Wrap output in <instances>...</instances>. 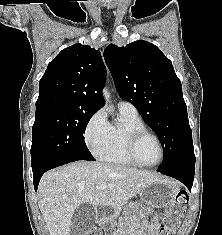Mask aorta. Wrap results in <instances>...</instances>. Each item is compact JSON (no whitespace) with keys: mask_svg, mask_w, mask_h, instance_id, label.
<instances>
[{"mask_svg":"<svg viewBox=\"0 0 222 235\" xmlns=\"http://www.w3.org/2000/svg\"><path fill=\"white\" fill-rule=\"evenodd\" d=\"M103 97H104V100H108L110 97V94L106 88H104L103 90Z\"/></svg>","mask_w":222,"mask_h":235,"instance_id":"762f6f07","label":"aorta"}]
</instances>
